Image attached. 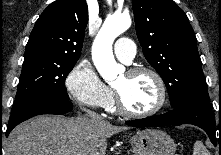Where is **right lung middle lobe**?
<instances>
[{
  "instance_id": "dd1d6c3e",
  "label": "right lung middle lobe",
  "mask_w": 221,
  "mask_h": 155,
  "mask_svg": "<svg viewBox=\"0 0 221 155\" xmlns=\"http://www.w3.org/2000/svg\"><path fill=\"white\" fill-rule=\"evenodd\" d=\"M77 60L52 57H25L12 113L36 96L69 99L65 79Z\"/></svg>"
}]
</instances>
